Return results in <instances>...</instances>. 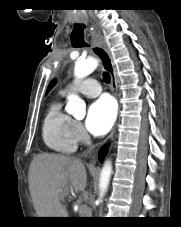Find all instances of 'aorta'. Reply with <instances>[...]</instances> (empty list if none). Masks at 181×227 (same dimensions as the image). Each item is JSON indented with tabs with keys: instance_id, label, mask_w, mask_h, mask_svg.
I'll use <instances>...</instances> for the list:
<instances>
[{
	"instance_id": "1",
	"label": "aorta",
	"mask_w": 181,
	"mask_h": 227,
	"mask_svg": "<svg viewBox=\"0 0 181 227\" xmlns=\"http://www.w3.org/2000/svg\"><path fill=\"white\" fill-rule=\"evenodd\" d=\"M98 66V61L95 58H88L84 60H77L74 67V76L77 79H83L90 75ZM66 111L73 115L75 118H82L86 114V104L85 102L76 94H71L68 96V103L66 105ZM112 173L111 161H107L100 174L99 179V189H100V200L104 197L110 177Z\"/></svg>"
}]
</instances>
